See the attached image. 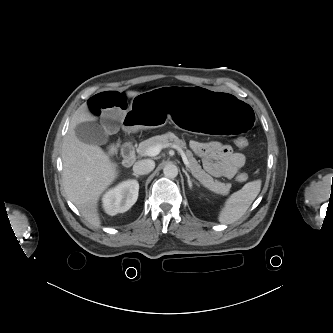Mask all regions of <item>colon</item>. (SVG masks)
Instances as JSON below:
<instances>
[{"mask_svg":"<svg viewBox=\"0 0 333 333\" xmlns=\"http://www.w3.org/2000/svg\"><path fill=\"white\" fill-rule=\"evenodd\" d=\"M235 143L236 145L239 147V148H245L247 145H248V141L246 138L244 137H239L235 140ZM116 152V145L112 144L108 147V153L109 154H114ZM248 179V175L246 173H240L238 176H237V180L239 182H244Z\"/></svg>","mask_w":333,"mask_h":333,"instance_id":"obj_1","label":"colon"}]
</instances>
